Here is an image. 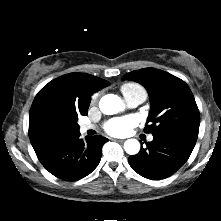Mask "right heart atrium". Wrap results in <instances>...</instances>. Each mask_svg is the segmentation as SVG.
Segmentation results:
<instances>
[{
    "instance_id": "1",
    "label": "right heart atrium",
    "mask_w": 221,
    "mask_h": 221,
    "mask_svg": "<svg viewBox=\"0 0 221 221\" xmlns=\"http://www.w3.org/2000/svg\"><path fill=\"white\" fill-rule=\"evenodd\" d=\"M97 100V94L93 95L91 103L94 104Z\"/></svg>"
}]
</instances>
